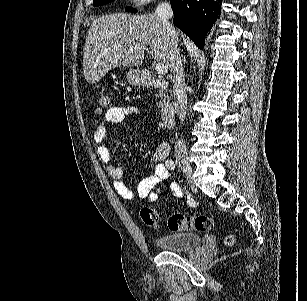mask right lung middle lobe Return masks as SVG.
Returning <instances> with one entry per match:
<instances>
[{
  "label": "right lung middle lobe",
  "instance_id": "right-lung-middle-lobe-1",
  "mask_svg": "<svg viewBox=\"0 0 307 301\" xmlns=\"http://www.w3.org/2000/svg\"><path fill=\"white\" fill-rule=\"evenodd\" d=\"M112 1H114V0H94L93 6H102V5L107 4L109 2H112ZM126 11L133 12V13L137 12V10L132 8V7H126Z\"/></svg>",
  "mask_w": 307,
  "mask_h": 301
}]
</instances>
